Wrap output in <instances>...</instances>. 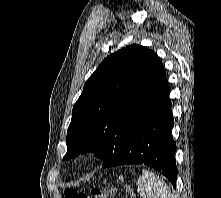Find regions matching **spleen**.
Returning <instances> with one entry per match:
<instances>
[{
  "instance_id": "obj_1",
  "label": "spleen",
  "mask_w": 221,
  "mask_h": 198,
  "mask_svg": "<svg viewBox=\"0 0 221 198\" xmlns=\"http://www.w3.org/2000/svg\"><path fill=\"white\" fill-rule=\"evenodd\" d=\"M137 192L141 198H173L168 185L148 170L142 171L137 181Z\"/></svg>"
}]
</instances>
